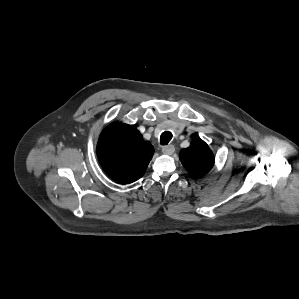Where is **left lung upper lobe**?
Here are the masks:
<instances>
[{"instance_id": "obj_1", "label": "left lung upper lobe", "mask_w": 299, "mask_h": 299, "mask_svg": "<svg viewBox=\"0 0 299 299\" xmlns=\"http://www.w3.org/2000/svg\"><path fill=\"white\" fill-rule=\"evenodd\" d=\"M180 160L194 178L206 175L214 165L212 151L200 138L194 139L188 148L180 152Z\"/></svg>"}]
</instances>
